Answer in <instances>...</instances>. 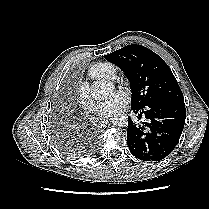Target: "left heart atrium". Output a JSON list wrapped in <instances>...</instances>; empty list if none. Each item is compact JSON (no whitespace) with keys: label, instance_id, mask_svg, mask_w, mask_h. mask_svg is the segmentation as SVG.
Masks as SVG:
<instances>
[{"label":"left heart atrium","instance_id":"1","mask_svg":"<svg viewBox=\"0 0 209 209\" xmlns=\"http://www.w3.org/2000/svg\"><path fill=\"white\" fill-rule=\"evenodd\" d=\"M128 100L126 93L116 92L111 98L99 105L97 114L100 118H108L124 108Z\"/></svg>","mask_w":209,"mask_h":209}]
</instances>
